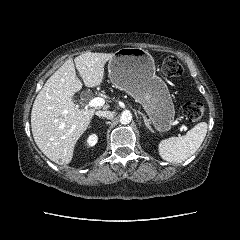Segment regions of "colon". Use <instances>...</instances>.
<instances>
[{
	"instance_id": "5ec220e1",
	"label": "colon",
	"mask_w": 240,
	"mask_h": 240,
	"mask_svg": "<svg viewBox=\"0 0 240 240\" xmlns=\"http://www.w3.org/2000/svg\"><path fill=\"white\" fill-rule=\"evenodd\" d=\"M162 71L168 77H177L182 74L183 68L177 58L170 56L163 61ZM204 112V105L198 101L187 102L183 106V114L191 123L200 121Z\"/></svg>"
}]
</instances>
